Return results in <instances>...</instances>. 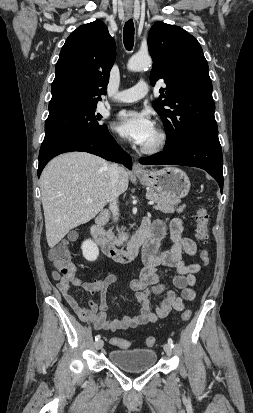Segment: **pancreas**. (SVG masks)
Masks as SVG:
<instances>
[{
  "label": "pancreas",
  "instance_id": "1",
  "mask_svg": "<svg viewBox=\"0 0 253 413\" xmlns=\"http://www.w3.org/2000/svg\"><path fill=\"white\" fill-rule=\"evenodd\" d=\"M146 197L150 200H153L156 205L154 206V208L156 210H160L164 213H173L175 210L178 213L183 212V210L185 209L186 205H181L178 206V204L180 203V200L178 199H172L168 196L159 194L157 192H155L154 190H148L146 193ZM116 243H122L121 240H115Z\"/></svg>",
  "mask_w": 253,
  "mask_h": 413
}]
</instances>
